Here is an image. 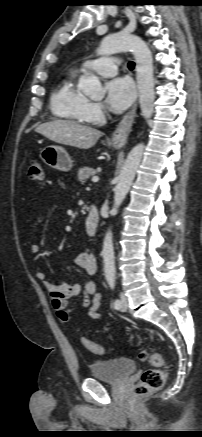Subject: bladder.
Wrapping results in <instances>:
<instances>
[{"label":"bladder","instance_id":"bladder-1","mask_svg":"<svg viewBox=\"0 0 202 437\" xmlns=\"http://www.w3.org/2000/svg\"><path fill=\"white\" fill-rule=\"evenodd\" d=\"M136 368L135 361L127 357L95 361L89 366L93 378L110 383L120 382L134 373Z\"/></svg>","mask_w":202,"mask_h":437}]
</instances>
